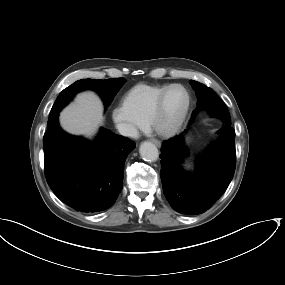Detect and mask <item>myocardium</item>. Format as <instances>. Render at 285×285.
I'll return each instance as SVG.
<instances>
[{
	"instance_id": "myocardium-1",
	"label": "myocardium",
	"mask_w": 285,
	"mask_h": 285,
	"mask_svg": "<svg viewBox=\"0 0 285 285\" xmlns=\"http://www.w3.org/2000/svg\"><path fill=\"white\" fill-rule=\"evenodd\" d=\"M175 87H179V88L183 89L184 92L186 93V97H187L186 105H185V108L182 111L181 115L178 117V119L171 126L163 127V126L158 124V121H159V119L163 113L166 97H167L169 91ZM191 104H192L191 94H190L189 90L184 85L178 84V83L170 84L163 90V92L159 96L157 102L155 103V105L151 109V111H150V113L146 119V122L156 134H158L160 136H164V137H172L175 134H177L181 130V128L183 127V125H184V123L188 117V114L190 112Z\"/></svg>"
}]
</instances>
